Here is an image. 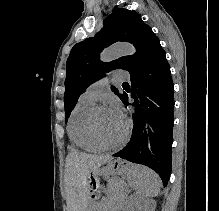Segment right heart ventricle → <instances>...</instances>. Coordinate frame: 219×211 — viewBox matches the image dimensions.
Returning <instances> with one entry per match:
<instances>
[{
  "mask_svg": "<svg viewBox=\"0 0 219 211\" xmlns=\"http://www.w3.org/2000/svg\"><path fill=\"white\" fill-rule=\"evenodd\" d=\"M94 105V103L79 99L73 107L68 120L70 140L77 146L90 152L104 149V146L95 141L89 130L88 118Z\"/></svg>",
  "mask_w": 219,
  "mask_h": 211,
  "instance_id": "e07e8e85",
  "label": "right heart ventricle"
}]
</instances>
